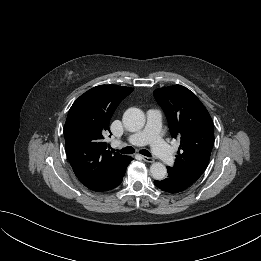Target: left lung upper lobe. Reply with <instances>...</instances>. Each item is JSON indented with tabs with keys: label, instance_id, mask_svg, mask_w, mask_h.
<instances>
[{
	"label": "left lung upper lobe",
	"instance_id": "obj_1",
	"mask_svg": "<svg viewBox=\"0 0 261 261\" xmlns=\"http://www.w3.org/2000/svg\"><path fill=\"white\" fill-rule=\"evenodd\" d=\"M154 97L166 114L171 136L180 142L175 165L168 168L194 183L210 159L214 143L212 119L197 96L184 86L156 89Z\"/></svg>",
	"mask_w": 261,
	"mask_h": 261
}]
</instances>
